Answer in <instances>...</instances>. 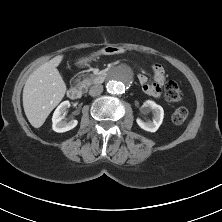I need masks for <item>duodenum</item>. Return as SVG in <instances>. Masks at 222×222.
Returning a JSON list of instances; mask_svg holds the SVG:
<instances>
[{
  "mask_svg": "<svg viewBox=\"0 0 222 222\" xmlns=\"http://www.w3.org/2000/svg\"><path fill=\"white\" fill-rule=\"evenodd\" d=\"M106 75L104 73H99L94 77V82L96 84L103 83ZM67 95L72 100H78L82 97V91L77 87H70L67 91Z\"/></svg>",
  "mask_w": 222,
  "mask_h": 222,
  "instance_id": "410a0bca",
  "label": "duodenum"
}]
</instances>
